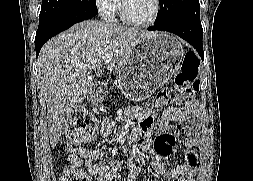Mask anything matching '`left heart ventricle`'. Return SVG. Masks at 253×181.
Instances as JSON below:
<instances>
[{
  "mask_svg": "<svg viewBox=\"0 0 253 181\" xmlns=\"http://www.w3.org/2000/svg\"><path fill=\"white\" fill-rule=\"evenodd\" d=\"M129 16L137 21L148 20L154 11V0H124Z\"/></svg>",
  "mask_w": 253,
  "mask_h": 181,
  "instance_id": "left-heart-ventricle-1",
  "label": "left heart ventricle"
}]
</instances>
